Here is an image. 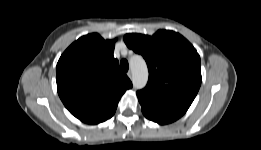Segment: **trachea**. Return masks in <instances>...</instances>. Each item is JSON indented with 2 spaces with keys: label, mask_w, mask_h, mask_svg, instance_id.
<instances>
[{
  "label": "trachea",
  "mask_w": 261,
  "mask_h": 150,
  "mask_svg": "<svg viewBox=\"0 0 261 150\" xmlns=\"http://www.w3.org/2000/svg\"><path fill=\"white\" fill-rule=\"evenodd\" d=\"M120 66H121V69H122L124 72H127L128 69H129L128 61L125 60V59L121 60Z\"/></svg>",
  "instance_id": "1"
}]
</instances>
